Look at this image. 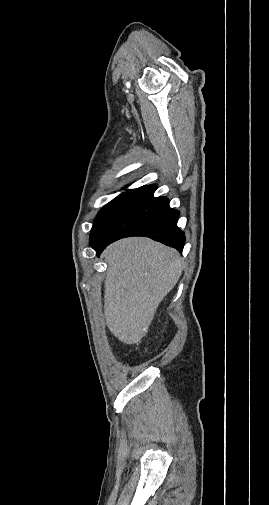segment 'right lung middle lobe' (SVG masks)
Listing matches in <instances>:
<instances>
[{"instance_id":"obj_1","label":"right lung middle lobe","mask_w":269,"mask_h":505,"mask_svg":"<svg viewBox=\"0 0 269 505\" xmlns=\"http://www.w3.org/2000/svg\"><path fill=\"white\" fill-rule=\"evenodd\" d=\"M138 190H128L110 201L98 213L90 234V244H95L121 209L133 198Z\"/></svg>"}]
</instances>
